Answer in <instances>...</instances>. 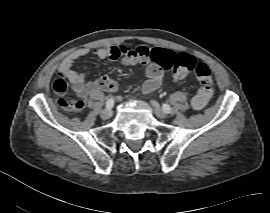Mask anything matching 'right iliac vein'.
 <instances>
[{
  "label": "right iliac vein",
  "instance_id": "63e3f726",
  "mask_svg": "<svg viewBox=\"0 0 270 213\" xmlns=\"http://www.w3.org/2000/svg\"><path fill=\"white\" fill-rule=\"evenodd\" d=\"M112 109L109 108H105L102 112H101V118L102 119H109L112 117Z\"/></svg>",
  "mask_w": 270,
  "mask_h": 213
}]
</instances>
